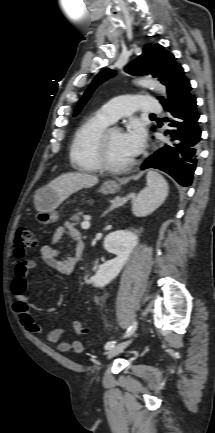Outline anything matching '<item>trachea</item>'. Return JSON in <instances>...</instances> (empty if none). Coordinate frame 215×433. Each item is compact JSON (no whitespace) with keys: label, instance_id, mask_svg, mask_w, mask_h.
Segmentation results:
<instances>
[{"label":"trachea","instance_id":"1","mask_svg":"<svg viewBox=\"0 0 215 433\" xmlns=\"http://www.w3.org/2000/svg\"><path fill=\"white\" fill-rule=\"evenodd\" d=\"M150 116H155L154 114H151Z\"/></svg>","mask_w":215,"mask_h":433}]
</instances>
